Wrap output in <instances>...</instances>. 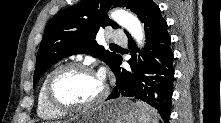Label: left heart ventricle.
<instances>
[{"label":"left heart ventricle","instance_id":"obj_1","mask_svg":"<svg viewBox=\"0 0 221 123\" xmlns=\"http://www.w3.org/2000/svg\"><path fill=\"white\" fill-rule=\"evenodd\" d=\"M103 81L97 74L71 69L58 75L54 93L59 100L69 104H83L95 100L101 93Z\"/></svg>","mask_w":221,"mask_h":123}]
</instances>
